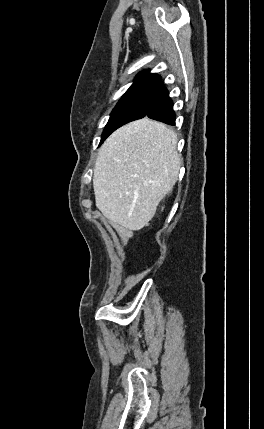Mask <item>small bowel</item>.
I'll use <instances>...</instances> for the list:
<instances>
[{
    "instance_id": "c3829d8e",
    "label": "small bowel",
    "mask_w": 264,
    "mask_h": 429,
    "mask_svg": "<svg viewBox=\"0 0 264 429\" xmlns=\"http://www.w3.org/2000/svg\"><path fill=\"white\" fill-rule=\"evenodd\" d=\"M130 233L129 232H127V231H123V230H120L119 231V237H120V240L123 242V243H127L128 242V240H129V238H130Z\"/></svg>"
}]
</instances>
